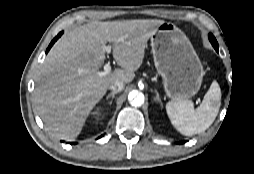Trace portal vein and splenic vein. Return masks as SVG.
<instances>
[{
    "label": "portal vein and splenic vein",
    "instance_id": "obj_1",
    "mask_svg": "<svg viewBox=\"0 0 254 174\" xmlns=\"http://www.w3.org/2000/svg\"><path fill=\"white\" fill-rule=\"evenodd\" d=\"M118 41H122V39H120ZM111 48H112L111 45L105 46L104 47V51L107 52V53H110L111 52ZM110 72H111V66H110L109 63H107V64L104 65V71H101L98 74L100 76H104V75H108Z\"/></svg>",
    "mask_w": 254,
    "mask_h": 174
}]
</instances>
